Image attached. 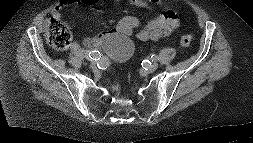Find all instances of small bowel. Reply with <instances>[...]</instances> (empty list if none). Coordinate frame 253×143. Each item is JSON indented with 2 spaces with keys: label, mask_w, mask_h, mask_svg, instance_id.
I'll return each mask as SVG.
<instances>
[{
  "label": "small bowel",
  "mask_w": 253,
  "mask_h": 143,
  "mask_svg": "<svg viewBox=\"0 0 253 143\" xmlns=\"http://www.w3.org/2000/svg\"><path fill=\"white\" fill-rule=\"evenodd\" d=\"M100 0H62L58 6L53 10V15L58 17L60 15L61 8L66 4H72L80 2L88 6H94ZM116 1H128L130 4L148 8L150 4L159 3L160 0H116ZM180 25L177 14L170 9L163 10L159 16L149 21L145 26H141V22L135 16H125L118 24L111 30H107L96 35L86 37L83 40V44L87 47H98L107 45L112 39L117 36H129L135 29L140 28L136 33V37L141 41H155L164 36L169 35L176 30ZM129 56V53L122 54L121 58L125 59Z\"/></svg>",
  "instance_id": "1"
}]
</instances>
